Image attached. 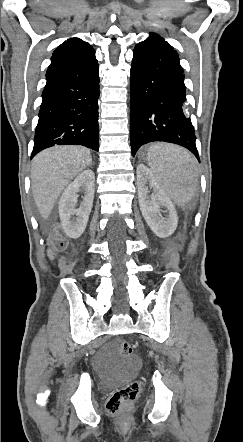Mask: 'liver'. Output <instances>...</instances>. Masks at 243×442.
<instances>
[{"instance_id":"obj_1","label":"liver","mask_w":243,"mask_h":442,"mask_svg":"<svg viewBox=\"0 0 243 442\" xmlns=\"http://www.w3.org/2000/svg\"><path fill=\"white\" fill-rule=\"evenodd\" d=\"M91 163L90 151L81 146H54L36 155L31 168V189L44 220L65 187Z\"/></svg>"}]
</instances>
